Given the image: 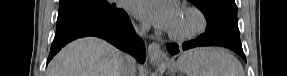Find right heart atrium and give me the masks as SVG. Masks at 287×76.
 Instances as JSON below:
<instances>
[{"instance_id":"d8ad5b80","label":"right heart atrium","mask_w":287,"mask_h":76,"mask_svg":"<svg viewBox=\"0 0 287 76\" xmlns=\"http://www.w3.org/2000/svg\"><path fill=\"white\" fill-rule=\"evenodd\" d=\"M140 28H144V25H141Z\"/></svg>"}]
</instances>
